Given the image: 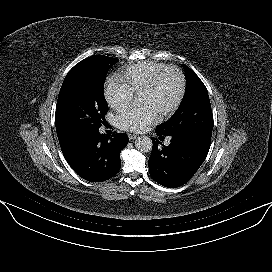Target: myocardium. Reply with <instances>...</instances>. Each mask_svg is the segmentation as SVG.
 Returning a JSON list of instances; mask_svg holds the SVG:
<instances>
[{"mask_svg":"<svg viewBox=\"0 0 272 272\" xmlns=\"http://www.w3.org/2000/svg\"><path fill=\"white\" fill-rule=\"evenodd\" d=\"M168 71H174L178 74L179 80H180V88H179V93L174 104L168 110L160 114L161 118H168L172 116L173 114L177 112L180 105L182 104V101L184 99L185 92H186V78L183 71L177 66L166 65L158 73H156L155 76L139 92V94H142V93H147L152 91L159 84L162 76Z\"/></svg>","mask_w":272,"mask_h":272,"instance_id":"f54148a6","label":"myocardium"}]
</instances>
